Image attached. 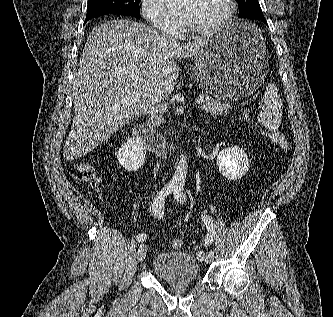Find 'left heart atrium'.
Listing matches in <instances>:
<instances>
[{
  "instance_id": "39dd6f15",
  "label": "left heart atrium",
  "mask_w": 333,
  "mask_h": 317,
  "mask_svg": "<svg viewBox=\"0 0 333 317\" xmlns=\"http://www.w3.org/2000/svg\"><path fill=\"white\" fill-rule=\"evenodd\" d=\"M187 15H188V9H187V8L181 11V16H182L183 18L186 19Z\"/></svg>"
}]
</instances>
